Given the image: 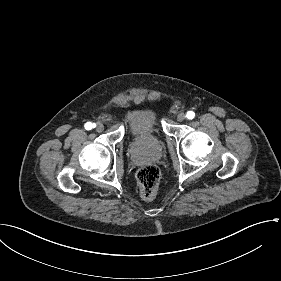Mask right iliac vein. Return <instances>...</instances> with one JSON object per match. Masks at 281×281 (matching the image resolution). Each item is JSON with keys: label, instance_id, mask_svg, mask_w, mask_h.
Listing matches in <instances>:
<instances>
[{"label": "right iliac vein", "instance_id": "63e3f726", "mask_svg": "<svg viewBox=\"0 0 281 281\" xmlns=\"http://www.w3.org/2000/svg\"><path fill=\"white\" fill-rule=\"evenodd\" d=\"M95 128L98 132H102L104 130V125L99 122L96 124Z\"/></svg>", "mask_w": 281, "mask_h": 281}]
</instances>
